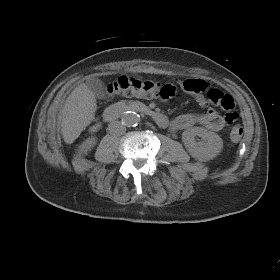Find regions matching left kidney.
<instances>
[{
    "label": "left kidney",
    "mask_w": 280,
    "mask_h": 280,
    "mask_svg": "<svg viewBox=\"0 0 280 280\" xmlns=\"http://www.w3.org/2000/svg\"><path fill=\"white\" fill-rule=\"evenodd\" d=\"M195 136L202 137L204 143L195 140ZM184 145L189 154L198 160H209L221 151L223 142L220 136L202 127H193L182 134Z\"/></svg>",
    "instance_id": "5707ae66"
}]
</instances>
